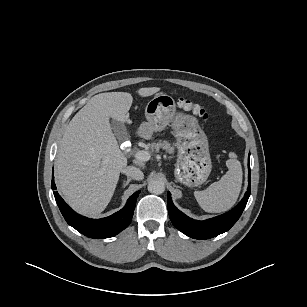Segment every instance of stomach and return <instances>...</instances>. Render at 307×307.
Instances as JSON below:
<instances>
[{"instance_id":"obj_1","label":"stomach","mask_w":307,"mask_h":307,"mask_svg":"<svg viewBox=\"0 0 307 307\" xmlns=\"http://www.w3.org/2000/svg\"><path fill=\"white\" fill-rule=\"evenodd\" d=\"M145 117L147 121L142 122L138 129V134L145 139L172 123L179 151L175 177L188 187L202 185L210 175L212 164L208 140L197 119L182 112L176 113L174 99L166 94H158L148 102Z\"/></svg>"}]
</instances>
